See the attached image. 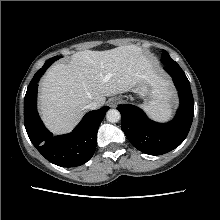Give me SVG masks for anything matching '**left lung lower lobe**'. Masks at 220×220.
Returning <instances> with one entry per match:
<instances>
[{
  "mask_svg": "<svg viewBox=\"0 0 220 220\" xmlns=\"http://www.w3.org/2000/svg\"><path fill=\"white\" fill-rule=\"evenodd\" d=\"M164 65L180 97V106L172 121L164 124L154 122L133 105L117 107L126 137L138 150L149 155L165 154L178 147L187 137L194 115L193 95L184 71L177 63Z\"/></svg>",
  "mask_w": 220,
  "mask_h": 220,
  "instance_id": "left-lung-lower-lobe-1",
  "label": "left lung lower lobe"
}]
</instances>
